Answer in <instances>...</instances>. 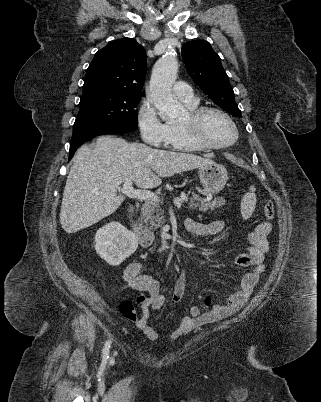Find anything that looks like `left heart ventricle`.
Instances as JSON below:
<instances>
[{"label": "left heart ventricle", "mask_w": 321, "mask_h": 402, "mask_svg": "<svg viewBox=\"0 0 321 402\" xmlns=\"http://www.w3.org/2000/svg\"><path fill=\"white\" fill-rule=\"evenodd\" d=\"M201 133L208 141L215 144L227 143L234 138V131L229 122L214 112L206 114L202 119Z\"/></svg>", "instance_id": "obj_1"}]
</instances>
